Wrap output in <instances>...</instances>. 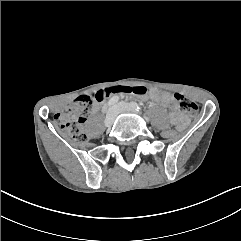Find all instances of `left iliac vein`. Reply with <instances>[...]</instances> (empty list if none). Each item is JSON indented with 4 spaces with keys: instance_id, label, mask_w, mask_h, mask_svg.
<instances>
[{
    "instance_id": "obj_1",
    "label": "left iliac vein",
    "mask_w": 241,
    "mask_h": 241,
    "mask_svg": "<svg viewBox=\"0 0 241 241\" xmlns=\"http://www.w3.org/2000/svg\"><path fill=\"white\" fill-rule=\"evenodd\" d=\"M116 107L118 108V112H120V113L121 112H134V109L128 103L120 102L116 105Z\"/></svg>"
}]
</instances>
